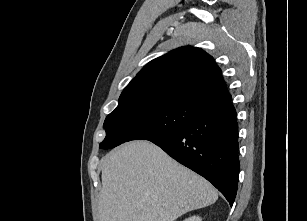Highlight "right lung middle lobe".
Wrapping results in <instances>:
<instances>
[{
	"instance_id": "right-lung-middle-lobe-1",
	"label": "right lung middle lobe",
	"mask_w": 307,
	"mask_h": 221,
	"mask_svg": "<svg viewBox=\"0 0 307 221\" xmlns=\"http://www.w3.org/2000/svg\"><path fill=\"white\" fill-rule=\"evenodd\" d=\"M207 108L182 100L144 98L119 102L104 122L106 137L100 148L110 149L124 142L163 136L177 131Z\"/></svg>"
}]
</instances>
